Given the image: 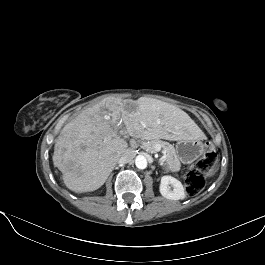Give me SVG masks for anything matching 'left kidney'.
<instances>
[{"mask_svg":"<svg viewBox=\"0 0 265 265\" xmlns=\"http://www.w3.org/2000/svg\"><path fill=\"white\" fill-rule=\"evenodd\" d=\"M170 186L173 187V190ZM160 193L169 200H182L186 196L182 183L176 178L168 175L161 178Z\"/></svg>","mask_w":265,"mask_h":265,"instance_id":"5707ae66","label":"left kidney"}]
</instances>
